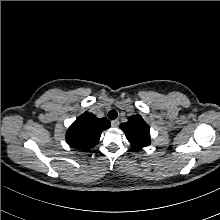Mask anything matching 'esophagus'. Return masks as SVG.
Wrapping results in <instances>:
<instances>
[{"instance_id":"34e87169","label":"esophagus","mask_w":220,"mask_h":220,"mask_svg":"<svg viewBox=\"0 0 220 220\" xmlns=\"http://www.w3.org/2000/svg\"><path fill=\"white\" fill-rule=\"evenodd\" d=\"M119 120H113V121H111V125L113 126V127H118V125H119Z\"/></svg>"}]
</instances>
